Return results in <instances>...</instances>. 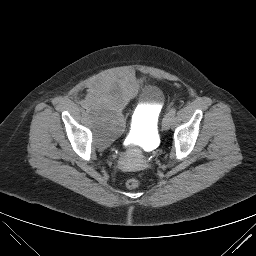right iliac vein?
<instances>
[{
	"mask_svg": "<svg viewBox=\"0 0 256 256\" xmlns=\"http://www.w3.org/2000/svg\"><path fill=\"white\" fill-rule=\"evenodd\" d=\"M84 110L86 111L87 114L91 113L90 107L89 106H85Z\"/></svg>",
	"mask_w": 256,
	"mask_h": 256,
	"instance_id": "right-iliac-vein-1",
	"label": "right iliac vein"
}]
</instances>
